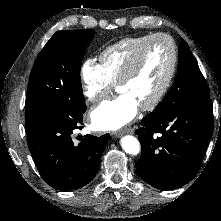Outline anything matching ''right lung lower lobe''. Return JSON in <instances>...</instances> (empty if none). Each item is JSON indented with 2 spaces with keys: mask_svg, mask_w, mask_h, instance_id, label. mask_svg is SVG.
<instances>
[{
  "mask_svg": "<svg viewBox=\"0 0 221 221\" xmlns=\"http://www.w3.org/2000/svg\"><path fill=\"white\" fill-rule=\"evenodd\" d=\"M85 111L86 107L65 106L47 113L27 131L28 147L42 178L57 190H76L91 182L110 137L85 135L78 145L73 142Z\"/></svg>",
  "mask_w": 221,
  "mask_h": 221,
  "instance_id": "right-lung-lower-lobe-1",
  "label": "right lung lower lobe"
}]
</instances>
